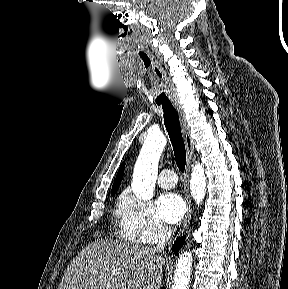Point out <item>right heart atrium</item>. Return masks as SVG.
<instances>
[{"instance_id": "obj_1", "label": "right heart atrium", "mask_w": 288, "mask_h": 289, "mask_svg": "<svg viewBox=\"0 0 288 289\" xmlns=\"http://www.w3.org/2000/svg\"><path fill=\"white\" fill-rule=\"evenodd\" d=\"M119 229L123 238L140 244H154L166 239L169 228L158 217L149 201L126 192L118 205Z\"/></svg>"}]
</instances>
